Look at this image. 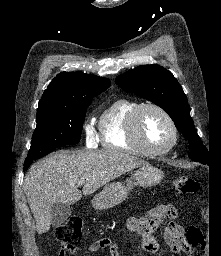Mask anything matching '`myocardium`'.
<instances>
[{"instance_id": "f54148a6", "label": "myocardium", "mask_w": 221, "mask_h": 256, "mask_svg": "<svg viewBox=\"0 0 221 256\" xmlns=\"http://www.w3.org/2000/svg\"><path fill=\"white\" fill-rule=\"evenodd\" d=\"M147 109H155L158 112H160L166 118V120L170 125L172 138L170 142L163 148H158V149L152 148L143 139V136L141 133V118L143 113ZM127 133L130 141L136 144L144 152V154L153 155V156L164 155V154H167L169 151H171L173 147L176 145L178 141V136H179L176 122L171 116V114L165 108L155 103L141 104L134 111V113L131 115L128 122Z\"/></svg>"}]
</instances>
